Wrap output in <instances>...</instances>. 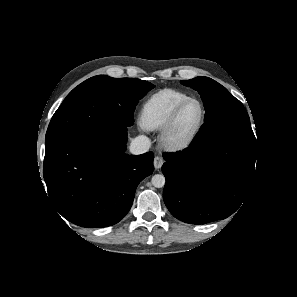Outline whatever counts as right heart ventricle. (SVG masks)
Returning a JSON list of instances; mask_svg holds the SVG:
<instances>
[{
	"instance_id": "right-heart-ventricle-1",
	"label": "right heart ventricle",
	"mask_w": 297,
	"mask_h": 297,
	"mask_svg": "<svg viewBox=\"0 0 297 297\" xmlns=\"http://www.w3.org/2000/svg\"><path fill=\"white\" fill-rule=\"evenodd\" d=\"M189 96L174 89H163L151 95L143 104L140 121L144 128L161 129L173 110Z\"/></svg>"
}]
</instances>
